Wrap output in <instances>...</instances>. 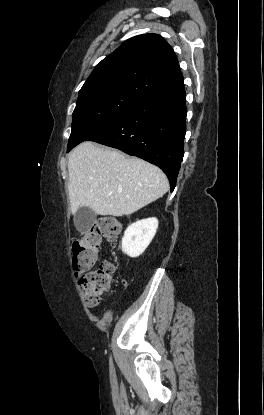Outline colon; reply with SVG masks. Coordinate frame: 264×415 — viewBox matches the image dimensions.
Instances as JSON below:
<instances>
[{
	"mask_svg": "<svg viewBox=\"0 0 264 415\" xmlns=\"http://www.w3.org/2000/svg\"><path fill=\"white\" fill-rule=\"evenodd\" d=\"M121 231L115 217H103L72 246V265L78 274V285L86 307L96 308L111 288L115 265L105 261L96 265L103 241L113 242Z\"/></svg>",
	"mask_w": 264,
	"mask_h": 415,
	"instance_id": "colon-1",
	"label": "colon"
}]
</instances>
